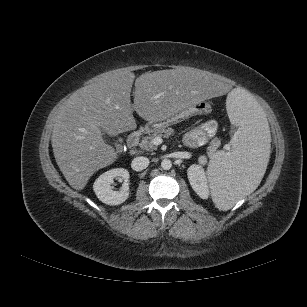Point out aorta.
Returning <instances> with one entry per match:
<instances>
[{"label": "aorta", "instance_id": "1", "mask_svg": "<svg viewBox=\"0 0 307 307\" xmlns=\"http://www.w3.org/2000/svg\"><path fill=\"white\" fill-rule=\"evenodd\" d=\"M161 167H162L164 170H169V169H171V167H172V162H171V160H169V159H164V160H162V162H161Z\"/></svg>", "mask_w": 307, "mask_h": 307}]
</instances>
